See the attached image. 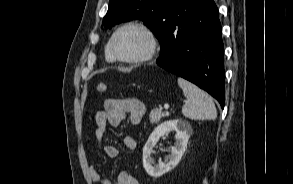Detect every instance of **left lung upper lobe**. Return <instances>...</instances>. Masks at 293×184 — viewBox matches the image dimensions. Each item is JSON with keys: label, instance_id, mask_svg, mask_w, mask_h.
I'll list each match as a JSON object with an SVG mask.
<instances>
[{"label": "left lung upper lobe", "instance_id": "5c2ea615", "mask_svg": "<svg viewBox=\"0 0 293 184\" xmlns=\"http://www.w3.org/2000/svg\"><path fill=\"white\" fill-rule=\"evenodd\" d=\"M180 0H110L102 28L110 29L124 20L140 19L158 38L161 51L172 12Z\"/></svg>", "mask_w": 293, "mask_h": 184}]
</instances>
